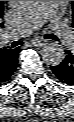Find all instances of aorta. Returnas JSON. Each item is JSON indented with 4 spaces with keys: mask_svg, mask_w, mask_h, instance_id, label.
I'll return each mask as SVG.
<instances>
[{
    "mask_svg": "<svg viewBox=\"0 0 74 122\" xmlns=\"http://www.w3.org/2000/svg\"><path fill=\"white\" fill-rule=\"evenodd\" d=\"M39 1H11V5L18 12H27L38 5ZM65 57L63 47L55 42L48 43L42 49L43 61L51 66L59 65Z\"/></svg>",
    "mask_w": 74,
    "mask_h": 122,
    "instance_id": "762f6f07",
    "label": "aorta"
}]
</instances>
